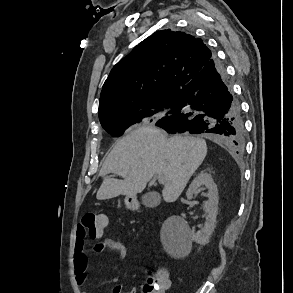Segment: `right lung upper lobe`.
I'll use <instances>...</instances> for the list:
<instances>
[{
    "instance_id": "right-lung-upper-lobe-1",
    "label": "right lung upper lobe",
    "mask_w": 293,
    "mask_h": 293,
    "mask_svg": "<svg viewBox=\"0 0 293 293\" xmlns=\"http://www.w3.org/2000/svg\"><path fill=\"white\" fill-rule=\"evenodd\" d=\"M213 58L203 41L190 34L155 32L111 70L100 96L99 119L176 99Z\"/></svg>"
}]
</instances>
